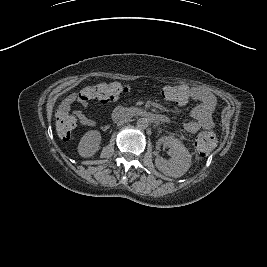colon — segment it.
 <instances>
[{
  "label": "colon",
  "mask_w": 267,
  "mask_h": 267,
  "mask_svg": "<svg viewBox=\"0 0 267 267\" xmlns=\"http://www.w3.org/2000/svg\"><path fill=\"white\" fill-rule=\"evenodd\" d=\"M128 91V87L117 82L97 83L84 87L79 92V99L85 103L100 102L109 103L117 101ZM163 98L175 102L183 103L188 93L179 86L167 85L161 89ZM76 120L73 115L67 111L58 113L56 117V131L61 139H68L75 128ZM196 150L201 156H208L216 146V137L209 130L201 131L196 137Z\"/></svg>",
  "instance_id": "1"
}]
</instances>
